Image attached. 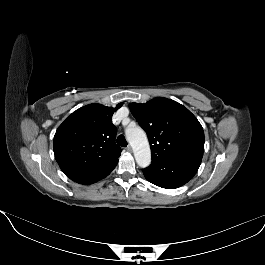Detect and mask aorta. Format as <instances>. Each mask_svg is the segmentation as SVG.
I'll return each instance as SVG.
<instances>
[{"mask_svg":"<svg viewBox=\"0 0 265 265\" xmlns=\"http://www.w3.org/2000/svg\"><path fill=\"white\" fill-rule=\"evenodd\" d=\"M125 133L127 140L133 149L137 164L141 168L148 167L151 163V152L144 130L135 126L126 129Z\"/></svg>","mask_w":265,"mask_h":265,"instance_id":"obj_1","label":"aorta"}]
</instances>
